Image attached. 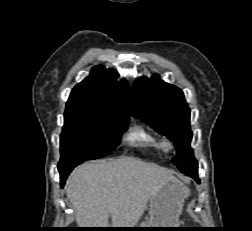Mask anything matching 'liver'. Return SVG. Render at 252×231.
<instances>
[{
  "mask_svg": "<svg viewBox=\"0 0 252 231\" xmlns=\"http://www.w3.org/2000/svg\"><path fill=\"white\" fill-rule=\"evenodd\" d=\"M175 177L165 168L135 158L88 162L65 184L81 228H134L159 188Z\"/></svg>",
  "mask_w": 252,
  "mask_h": 231,
  "instance_id": "obj_1",
  "label": "liver"
}]
</instances>
